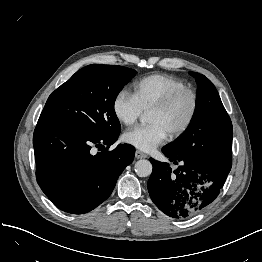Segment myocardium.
Returning <instances> with one entry per match:
<instances>
[{"instance_id": "myocardium-1", "label": "myocardium", "mask_w": 262, "mask_h": 262, "mask_svg": "<svg viewBox=\"0 0 262 262\" xmlns=\"http://www.w3.org/2000/svg\"><path fill=\"white\" fill-rule=\"evenodd\" d=\"M183 96H188L190 99V111L186 118V120L176 129H174L170 134L169 137L171 139H175L186 133L189 128L192 126L196 115L198 111L199 106V99L197 92L191 88L183 87L180 89H176L169 94H167L165 97H163L161 100H159L157 103H155L153 106L150 107L148 111L155 110V111H163L169 108L174 102H176L179 98Z\"/></svg>"}]
</instances>
